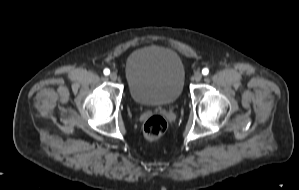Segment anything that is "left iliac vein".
<instances>
[{"label":"left iliac vein","mask_w":299,"mask_h":190,"mask_svg":"<svg viewBox=\"0 0 299 190\" xmlns=\"http://www.w3.org/2000/svg\"><path fill=\"white\" fill-rule=\"evenodd\" d=\"M202 79V73L197 71L195 74H194V80L199 82L200 80Z\"/></svg>","instance_id":"1"}]
</instances>
